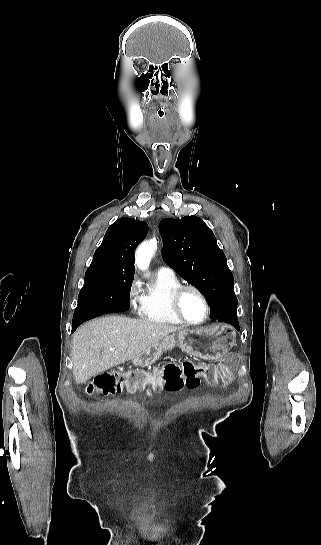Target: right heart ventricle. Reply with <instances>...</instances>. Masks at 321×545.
<instances>
[{
    "instance_id": "e07e8e85",
    "label": "right heart ventricle",
    "mask_w": 321,
    "mask_h": 545,
    "mask_svg": "<svg viewBox=\"0 0 321 545\" xmlns=\"http://www.w3.org/2000/svg\"><path fill=\"white\" fill-rule=\"evenodd\" d=\"M181 285L176 275L158 272L147 293L142 297L139 315L157 325H180L169 310V295Z\"/></svg>"
}]
</instances>
